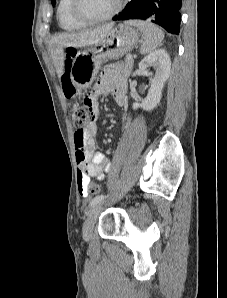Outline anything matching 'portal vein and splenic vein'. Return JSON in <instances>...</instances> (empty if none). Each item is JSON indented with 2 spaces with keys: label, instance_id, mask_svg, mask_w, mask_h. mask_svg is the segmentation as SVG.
<instances>
[{
  "label": "portal vein and splenic vein",
  "instance_id": "18ae733b",
  "mask_svg": "<svg viewBox=\"0 0 227 298\" xmlns=\"http://www.w3.org/2000/svg\"><path fill=\"white\" fill-rule=\"evenodd\" d=\"M126 58H127L128 60L133 59L131 55H127Z\"/></svg>",
  "mask_w": 227,
  "mask_h": 298
}]
</instances>
